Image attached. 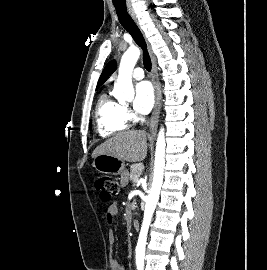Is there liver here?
Wrapping results in <instances>:
<instances>
[{
    "mask_svg": "<svg viewBox=\"0 0 267 270\" xmlns=\"http://www.w3.org/2000/svg\"><path fill=\"white\" fill-rule=\"evenodd\" d=\"M108 154L123 161L138 162L147 155L146 133L141 130H130L117 133L99 145L92 153V158Z\"/></svg>",
    "mask_w": 267,
    "mask_h": 270,
    "instance_id": "liver-1",
    "label": "liver"
}]
</instances>
